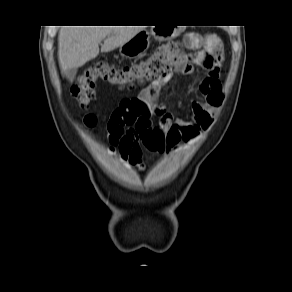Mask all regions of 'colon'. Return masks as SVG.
Returning <instances> with one entry per match:
<instances>
[{"label":"colon","mask_w":292,"mask_h":292,"mask_svg":"<svg viewBox=\"0 0 292 292\" xmlns=\"http://www.w3.org/2000/svg\"><path fill=\"white\" fill-rule=\"evenodd\" d=\"M200 38L190 34L186 42L197 47ZM185 61L177 43L160 46L144 61L131 65H116L102 61L84 70L71 88V93L82 108L88 107L95 100L97 81H105L119 88L130 87L135 83L151 82L139 96L121 101L114 109L107 124L110 143L118 145L125 129L136 126L141 131L142 144L151 154L160 153L163 148V135L153 125L162 109L158 82L167 78L174 69L184 67ZM89 126L95 124V118H86Z\"/></svg>","instance_id":"colon-1"}]
</instances>
